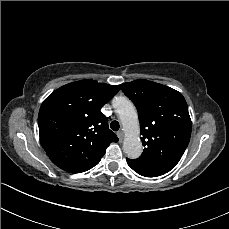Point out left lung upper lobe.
<instances>
[{"mask_svg":"<svg viewBox=\"0 0 229 229\" xmlns=\"http://www.w3.org/2000/svg\"><path fill=\"white\" fill-rule=\"evenodd\" d=\"M139 114L142 155L130 162L150 177L173 169L191 137V119L183 95L165 85L138 79L119 85Z\"/></svg>","mask_w":229,"mask_h":229,"instance_id":"5c2ea615","label":"left lung upper lobe"}]
</instances>
